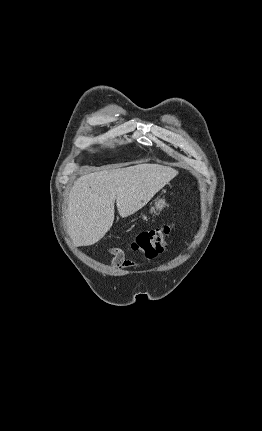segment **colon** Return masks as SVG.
Returning a JSON list of instances; mask_svg holds the SVG:
<instances>
[{
	"mask_svg": "<svg viewBox=\"0 0 262 431\" xmlns=\"http://www.w3.org/2000/svg\"><path fill=\"white\" fill-rule=\"evenodd\" d=\"M169 234V226L144 231L131 242L130 249L138 252L142 258L152 259L164 251ZM112 253L122 261L121 253L117 248H113Z\"/></svg>",
	"mask_w": 262,
	"mask_h": 431,
	"instance_id": "colon-1",
	"label": "colon"
}]
</instances>
